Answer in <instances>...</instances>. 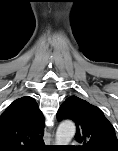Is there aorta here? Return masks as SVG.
<instances>
[{
	"label": "aorta",
	"mask_w": 118,
	"mask_h": 151,
	"mask_svg": "<svg viewBox=\"0 0 118 151\" xmlns=\"http://www.w3.org/2000/svg\"><path fill=\"white\" fill-rule=\"evenodd\" d=\"M75 132L76 126L72 121L62 122L56 132V145H69Z\"/></svg>",
	"instance_id": "1"
}]
</instances>
